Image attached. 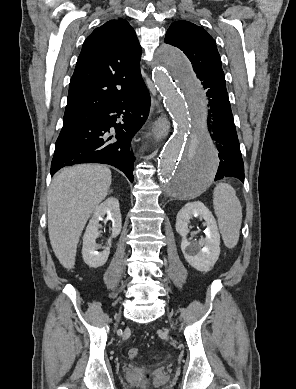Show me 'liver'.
Instances as JSON below:
<instances>
[{"label": "liver", "instance_id": "1", "mask_svg": "<svg viewBox=\"0 0 296 389\" xmlns=\"http://www.w3.org/2000/svg\"><path fill=\"white\" fill-rule=\"evenodd\" d=\"M111 171L103 165L80 164L61 169L48 192V232L60 264L71 269L87 220L105 199Z\"/></svg>", "mask_w": 296, "mask_h": 389}]
</instances>
